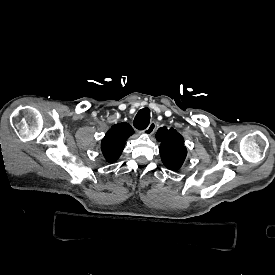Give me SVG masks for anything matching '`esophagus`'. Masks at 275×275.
I'll use <instances>...</instances> for the list:
<instances>
[{
  "instance_id": "esophagus-1",
  "label": "esophagus",
  "mask_w": 275,
  "mask_h": 275,
  "mask_svg": "<svg viewBox=\"0 0 275 275\" xmlns=\"http://www.w3.org/2000/svg\"><path fill=\"white\" fill-rule=\"evenodd\" d=\"M156 127H157V124L155 122H151L149 126L145 129L144 133L147 135H151L154 133Z\"/></svg>"
}]
</instances>
